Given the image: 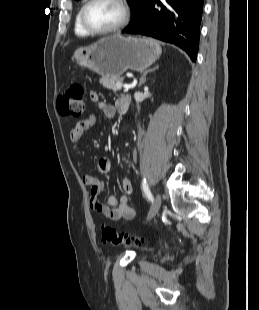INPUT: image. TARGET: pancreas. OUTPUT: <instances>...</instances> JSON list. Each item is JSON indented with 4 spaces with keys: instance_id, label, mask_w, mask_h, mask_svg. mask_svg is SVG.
<instances>
[{
    "instance_id": "1",
    "label": "pancreas",
    "mask_w": 259,
    "mask_h": 310,
    "mask_svg": "<svg viewBox=\"0 0 259 310\" xmlns=\"http://www.w3.org/2000/svg\"><path fill=\"white\" fill-rule=\"evenodd\" d=\"M123 81V77H112V76H104L100 79V83L103 87L110 89L114 92L117 91L116 83Z\"/></svg>"
}]
</instances>
